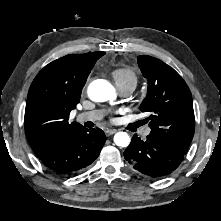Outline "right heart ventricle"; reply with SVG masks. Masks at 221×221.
<instances>
[{"mask_svg": "<svg viewBox=\"0 0 221 221\" xmlns=\"http://www.w3.org/2000/svg\"><path fill=\"white\" fill-rule=\"evenodd\" d=\"M112 77L119 89L129 88L134 90L138 84L137 73L130 67H120L112 71Z\"/></svg>", "mask_w": 221, "mask_h": 221, "instance_id": "1", "label": "right heart ventricle"}]
</instances>
